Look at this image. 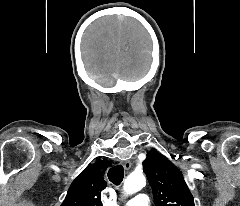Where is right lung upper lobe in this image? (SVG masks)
Wrapping results in <instances>:
<instances>
[{"mask_svg":"<svg viewBox=\"0 0 240 206\" xmlns=\"http://www.w3.org/2000/svg\"><path fill=\"white\" fill-rule=\"evenodd\" d=\"M111 165L108 160L88 165L72 182L61 206H102L101 191L106 188L101 169Z\"/></svg>","mask_w":240,"mask_h":206,"instance_id":"1","label":"right lung upper lobe"}]
</instances>
